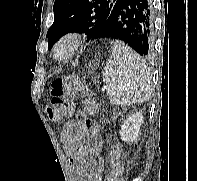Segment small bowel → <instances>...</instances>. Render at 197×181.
Returning <instances> with one entry per match:
<instances>
[{
	"instance_id": "c3829d8e",
	"label": "small bowel",
	"mask_w": 197,
	"mask_h": 181,
	"mask_svg": "<svg viewBox=\"0 0 197 181\" xmlns=\"http://www.w3.org/2000/svg\"><path fill=\"white\" fill-rule=\"evenodd\" d=\"M61 140L75 172L76 181H102L103 159L101 152L104 141L96 122L79 114L78 118L66 123ZM94 156L93 161L86 158Z\"/></svg>"
}]
</instances>
